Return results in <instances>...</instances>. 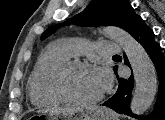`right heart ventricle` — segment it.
Returning <instances> with one entry per match:
<instances>
[{"label": "right heart ventricle", "instance_id": "right-heart-ventricle-1", "mask_svg": "<svg viewBox=\"0 0 165 120\" xmlns=\"http://www.w3.org/2000/svg\"><path fill=\"white\" fill-rule=\"evenodd\" d=\"M68 59V56L55 47L48 49L40 57L28 82L29 96L33 104L50 106L64 102L54 89V77Z\"/></svg>", "mask_w": 165, "mask_h": 120}]
</instances>
